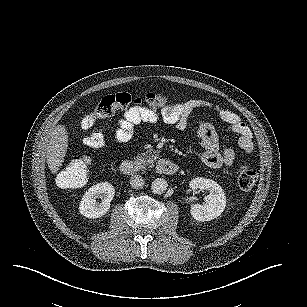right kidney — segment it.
<instances>
[{"label":"right kidney","instance_id":"obj_1","mask_svg":"<svg viewBox=\"0 0 307 307\" xmlns=\"http://www.w3.org/2000/svg\"><path fill=\"white\" fill-rule=\"evenodd\" d=\"M114 194L113 185L107 182L93 185L83 195L79 206L80 213L88 218H100L108 211ZM96 199H101V202Z\"/></svg>","mask_w":307,"mask_h":307}]
</instances>
